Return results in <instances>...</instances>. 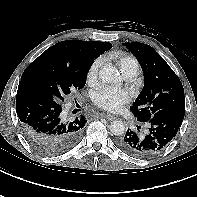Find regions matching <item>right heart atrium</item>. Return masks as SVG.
Masks as SVG:
<instances>
[{"mask_svg":"<svg viewBox=\"0 0 197 197\" xmlns=\"http://www.w3.org/2000/svg\"><path fill=\"white\" fill-rule=\"evenodd\" d=\"M101 63H102L101 59H96L89 66L86 74V79L89 84L94 85L97 83Z\"/></svg>","mask_w":197,"mask_h":197,"instance_id":"d8ad5b80","label":"right heart atrium"}]
</instances>
